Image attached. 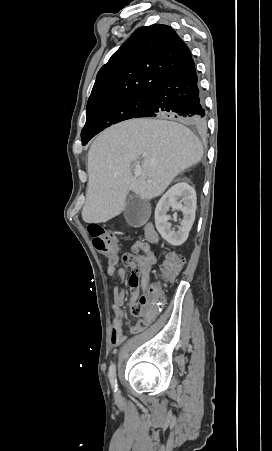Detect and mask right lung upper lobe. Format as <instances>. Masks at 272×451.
Here are the masks:
<instances>
[{
  "instance_id": "obj_1",
  "label": "right lung upper lobe",
  "mask_w": 272,
  "mask_h": 451,
  "mask_svg": "<svg viewBox=\"0 0 272 451\" xmlns=\"http://www.w3.org/2000/svg\"><path fill=\"white\" fill-rule=\"evenodd\" d=\"M191 57L171 27L139 28L98 72L87 109L118 97L150 95Z\"/></svg>"
}]
</instances>
